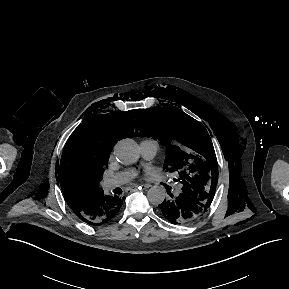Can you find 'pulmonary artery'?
Returning <instances> with one entry per match:
<instances>
[{
    "label": "pulmonary artery",
    "instance_id": "e3ab8cb5",
    "mask_svg": "<svg viewBox=\"0 0 289 289\" xmlns=\"http://www.w3.org/2000/svg\"><path fill=\"white\" fill-rule=\"evenodd\" d=\"M140 148L142 155L145 159H152L159 150V143L154 139H145L141 142ZM134 175V170H127L114 174L104 179L103 187L105 189H112L118 187L133 178Z\"/></svg>",
    "mask_w": 289,
    "mask_h": 289
}]
</instances>
